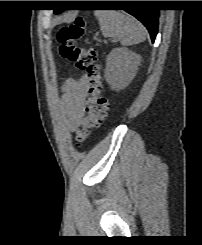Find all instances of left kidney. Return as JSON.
Masks as SVG:
<instances>
[{
	"label": "left kidney",
	"mask_w": 202,
	"mask_h": 245,
	"mask_svg": "<svg viewBox=\"0 0 202 245\" xmlns=\"http://www.w3.org/2000/svg\"><path fill=\"white\" fill-rule=\"evenodd\" d=\"M141 56L127 48L113 49L106 60L105 79L113 90L126 88L136 75Z\"/></svg>",
	"instance_id": "1"
}]
</instances>
